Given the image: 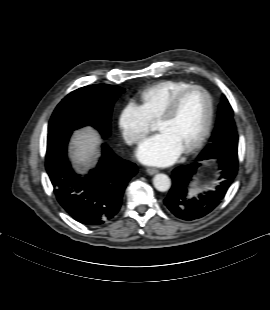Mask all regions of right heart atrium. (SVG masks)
Returning a JSON list of instances; mask_svg holds the SVG:
<instances>
[{
    "mask_svg": "<svg viewBox=\"0 0 270 310\" xmlns=\"http://www.w3.org/2000/svg\"><path fill=\"white\" fill-rule=\"evenodd\" d=\"M119 127L125 140L134 145L140 143L151 131V120L142 105L129 101L121 110Z\"/></svg>",
    "mask_w": 270,
    "mask_h": 310,
    "instance_id": "d8ad5b80",
    "label": "right heart atrium"
}]
</instances>
